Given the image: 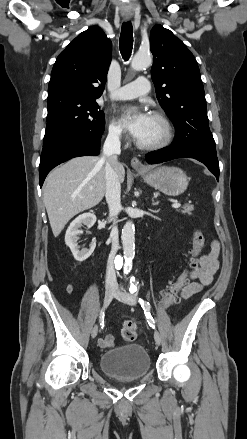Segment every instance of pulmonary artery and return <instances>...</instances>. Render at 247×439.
<instances>
[{
    "label": "pulmonary artery",
    "instance_id": "obj_1",
    "mask_svg": "<svg viewBox=\"0 0 247 439\" xmlns=\"http://www.w3.org/2000/svg\"><path fill=\"white\" fill-rule=\"evenodd\" d=\"M150 90L149 80L145 77H139L135 81L122 86L118 89L113 97L119 100L134 99L146 95Z\"/></svg>",
    "mask_w": 247,
    "mask_h": 439
}]
</instances>
